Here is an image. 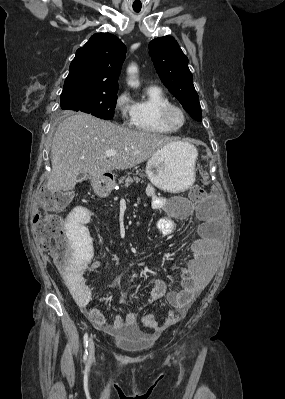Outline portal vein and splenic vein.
Returning a JSON list of instances; mask_svg holds the SVG:
<instances>
[{
  "label": "portal vein and splenic vein",
  "mask_w": 285,
  "mask_h": 399,
  "mask_svg": "<svg viewBox=\"0 0 285 399\" xmlns=\"http://www.w3.org/2000/svg\"><path fill=\"white\" fill-rule=\"evenodd\" d=\"M114 156H117V152L116 151L110 150V151H106L105 152V157H114Z\"/></svg>",
  "instance_id": "obj_1"
}]
</instances>
